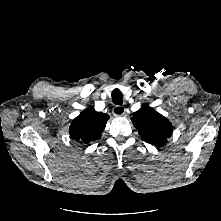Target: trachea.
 Segmentation results:
<instances>
[{"label": "trachea", "instance_id": "3493384b", "mask_svg": "<svg viewBox=\"0 0 221 221\" xmlns=\"http://www.w3.org/2000/svg\"><path fill=\"white\" fill-rule=\"evenodd\" d=\"M112 102L116 105H122L123 104V95L121 91L118 88H115L112 91Z\"/></svg>", "mask_w": 221, "mask_h": 221}]
</instances>
